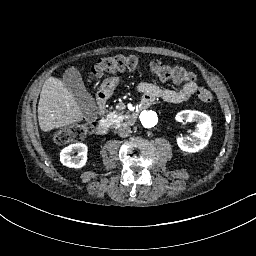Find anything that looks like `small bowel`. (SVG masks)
I'll use <instances>...</instances> for the list:
<instances>
[{"mask_svg":"<svg viewBox=\"0 0 256 256\" xmlns=\"http://www.w3.org/2000/svg\"><path fill=\"white\" fill-rule=\"evenodd\" d=\"M137 91L143 94L142 104L147 106L155 100L168 103H182L191 98L198 90L194 81L184 82L180 89L162 88L149 82H140L136 85Z\"/></svg>","mask_w":256,"mask_h":256,"instance_id":"small-bowel-1","label":"small bowel"}]
</instances>
